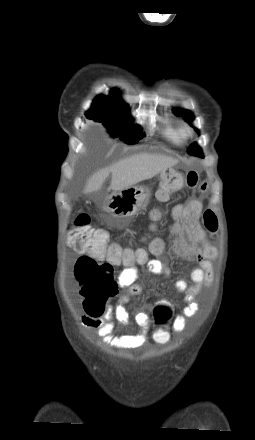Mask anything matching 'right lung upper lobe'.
<instances>
[{"mask_svg":"<svg viewBox=\"0 0 255 440\" xmlns=\"http://www.w3.org/2000/svg\"><path fill=\"white\" fill-rule=\"evenodd\" d=\"M93 103L98 104V105L108 106V107L127 106L119 97H117L115 95H111V96L99 95L94 100Z\"/></svg>","mask_w":255,"mask_h":440,"instance_id":"cb5924a9","label":"right lung upper lobe"}]
</instances>
